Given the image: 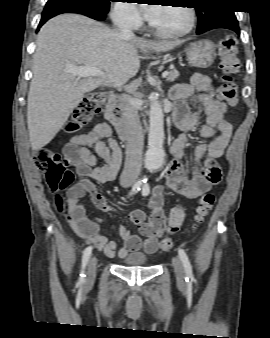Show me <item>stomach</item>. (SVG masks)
<instances>
[{
    "mask_svg": "<svg viewBox=\"0 0 270 338\" xmlns=\"http://www.w3.org/2000/svg\"><path fill=\"white\" fill-rule=\"evenodd\" d=\"M186 55L191 66L205 69L210 67L215 60V46L208 40L196 41L190 44Z\"/></svg>",
    "mask_w": 270,
    "mask_h": 338,
    "instance_id": "1",
    "label": "stomach"
}]
</instances>
